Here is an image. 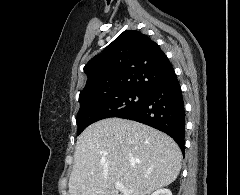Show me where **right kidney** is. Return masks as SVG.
Listing matches in <instances>:
<instances>
[{"instance_id":"1","label":"right kidney","mask_w":240,"mask_h":195,"mask_svg":"<svg viewBox=\"0 0 240 195\" xmlns=\"http://www.w3.org/2000/svg\"><path fill=\"white\" fill-rule=\"evenodd\" d=\"M151 195H172L170 189H165V187H162V189H156V191H153Z\"/></svg>"}]
</instances>
